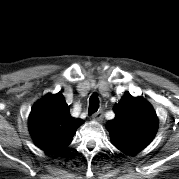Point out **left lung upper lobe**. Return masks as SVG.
<instances>
[{
  "mask_svg": "<svg viewBox=\"0 0 179 179\" xmlns=\"http://www.w3.org/2000/svg\"><path fill=\"white\" fill-rule=\"evenodd\" d=\"M113 109L116 116L106 126L112 144L131 153L146 148L158 129V118L150 103L127 93Z\"/></svg>",
  "mask_w": 179,
  "mask_h": 179,
  "instance_id": "obj_1",
  "label": "left lung upper lobe"
}]
</instances>
